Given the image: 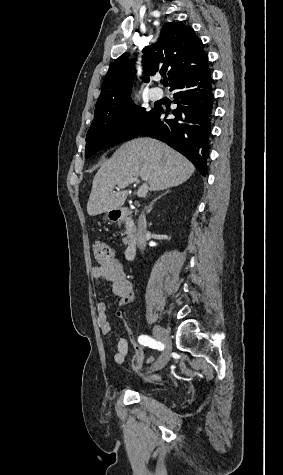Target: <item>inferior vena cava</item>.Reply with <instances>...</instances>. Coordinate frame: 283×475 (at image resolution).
Segmentation results:
<instances>
[{"instance_id":"602c4592","label":"inferior vena cava","mask_w":283,"mask_h":475,"mask_svg":"<svg viewBox=\"0 0 283 475\" xmlns=\"http://www.w3.org/2000/svg\"><path fill=\"white\" fill-rule=\"evenodd\" d=\"M146 220L144 214H141L138 220V230H137V243L140 249H145L146 247Z\"/></svg>"}]
</instances>
